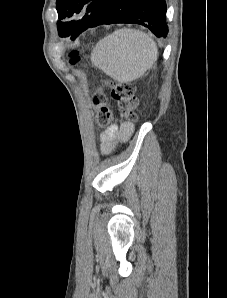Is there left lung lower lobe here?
Masks as SVG:
<instances>
[{
    "instance_id": "left-lung-lower-lobe-1",
    "label": "left lung lower lobe",
    "mask_w": 227,
    "mask_h": 298,
    "mask_svg": "<svg viewBox=\"0 0 227 298\" xmlns=\"http://www.w3.org/2000/svg\"><path fill=\"white\" fill-rule=\"evenodd\" d=\"M165 0H107L96 26L113 23L140 24L157 37H166ZM95 26V27H96Z\"/></svg>"
}]
</instances>
